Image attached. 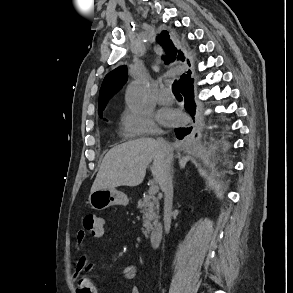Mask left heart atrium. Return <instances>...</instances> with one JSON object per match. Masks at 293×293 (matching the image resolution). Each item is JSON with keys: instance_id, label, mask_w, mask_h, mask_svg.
Returning <instances> with one entry per match:
<instances>
[{"instance_id": "obj_1", "label": "left heart atrium", "mask_w": 293, "mask_h": 293, "mask_svg": "<svg viewBox=\"0 0 293 293\" xmlns=\"http://www.w3.org/2000/svg\"><path fill=\"white\" fill-rule=\"evenodd\" d=\"M158 119L164 125H176V124L180 123L181 116L175 110L162 109L158 113Z\"/></svg>"}]
</instances>
